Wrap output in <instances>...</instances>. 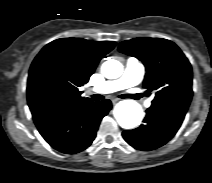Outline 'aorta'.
<instances>
[{"label": "aorta", "instance_id": "aorta-1", "mask_svg": "<svg viewBox=\"0 0 212 183\" xmlns=\"http://www.w3.org/2000/svg\"><path fill=\"white\" fill-rule=\"evenodd\" d=\"M101 72L108 79H116L122 75L123 65L117 60L109 59L102 64ZM114 117L122 128L133 129L140 124L143 111L137 102L123 100L115 106Z\"/></svg>", "mask_w": 212, "mask_h": 183}]
</instances>
